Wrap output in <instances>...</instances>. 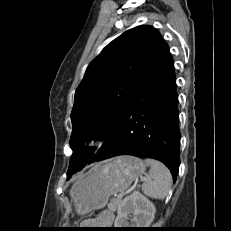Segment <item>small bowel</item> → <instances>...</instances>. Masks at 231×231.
<instances>
[{"instance_id":"1","label":"small bowel","mask_w":231,"mask_h":231,"mask_svg":"<svg viewBox=\"0 0 231 231\" xmlns=\"http://www.w3.org/2000/svg\"><path fill=\"white\" fill-rule=\"evenodd\" d=\"M114 221V215L110 211H106L99 217V227L97 231H107L109 227L112 226Z\"/></svg>"}]
</instances>
